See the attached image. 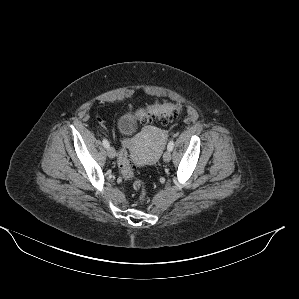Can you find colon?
<instances>
[{
    "instance_id": "obj_1",
    "label": "colon",
    "mask_w": 299,
    "mask_h": 299,
    "mask_svg": "<svg viewBox=\"0 0 299 299\" xmlns=\"http://www.w3.org/2000/svg\"><path fill=\"white\" fill-rule=\"evenodd\" d=\"M181 111V106L176 103L158 101L140 110L137 114V120L141 125L149 124L154 120L166 124L180 114ZM118 164L122 177L126 180H132L134 178V170L128 158L127 151L120 153ZM133 185L135 189L143 188V183L137 179L134 180Z\"/></svg>"
}]
</instances>
